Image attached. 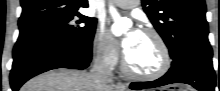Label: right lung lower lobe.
I'll use <instances>...</instances> for the list:
<instances>
[{
	"label": "right lung lower lobe",
	"instance_id": "98d812e1",
	"mask_svg": "<svg viewBox=\"0 0 220 91\" xmlns=\"http://www.w3.org/2000/svg\"><path fill=\"white\" fill-rule=\"evenodd\" d=\"M92 57V42L74 44L45 31H22L13 50L12 91L30 78L56 68L85 69Z\"/></svg>",
	"mask_w": 220,
	"mask_h": 91
}]
</instances>
